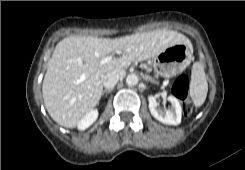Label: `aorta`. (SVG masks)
Wrapping results in <instances>:
<instances>
[{
  "label": "aorta",
  "instance_id": "obj_1",
  "mask_svg": "<svg viewBox=\"0 0 245 170\" xmlns=\"http://www.w3.org/2000/svg\"><path fill=\"white\" fill-rule=\"evenodd\" d=\"M138 82H139V78H138V76L135 75V74H130V75H128L127 78H126V84H127L128 86H134V85H137Z\"/></svg>",
  "mask_w": 245,
  "mask_h": 170
}]
</instances>
